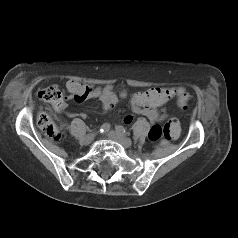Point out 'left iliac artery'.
<instances>
[{
    "label": "left iliac artery",
    "mask_w": 238,
    "mask_h": 238,
    "mask_svg": "<svg viewBox=\"0 0 238 238\" xmlns=\"http://www.w3.org/2000/svg\"><path fill=\"white\" fill-rule=\"evenodd\" d=\"M116 130H117L119 133H121V134H123V135H126V129H125L123 126H117V127H116Z\"/></svg>",
    "instance_id": "44dca946"
}]
</instances>
